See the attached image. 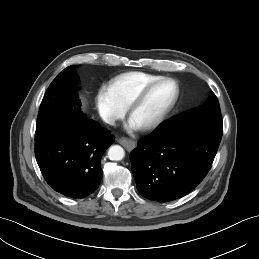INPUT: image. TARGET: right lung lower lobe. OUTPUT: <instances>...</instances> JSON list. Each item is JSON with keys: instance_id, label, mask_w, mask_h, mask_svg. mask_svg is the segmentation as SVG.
Returning a JSON list of instances; mask_svg holds the SVG:
<instances>
[{"instance_id": "1", "label": "right lung lower lobe", "mask_w": 259, "mask_h": 259, "mask_svg": "<svg viewBox=\"0 0 259 259\" xmlns=\"http://www.w3.org/2000/svg\"><path fill=\"white\" fill-rule=\"evenodd\" d=\"M114 140L93 120L56 117L35 133V156L51 188L67 197L84 198L98 188L101 157Z\"/></svg>"}]
</instances>
